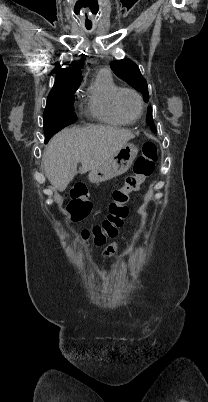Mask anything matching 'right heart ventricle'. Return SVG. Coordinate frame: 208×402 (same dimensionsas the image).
I'll return each instance as SVG.
<instances>
[{
  "mask_svg": "<svg viewBox=\"0 0 208 402\" xmlns=\"http://www.w3.org/2000/svg\"><path fill=\"white\" fill-rule=\"evenodd\" d=\"M118 86L110 74L100 71L88 90V108L91 116L99 125L125 127L130 122L122 120L114 111L113 97Z\"/></svg>",
  "mask_w": 208,
  "mask_h": 402,
  "instance_id": "right-heart-ventricle-1",
  "label": "right heart ventricle"
}]
</instances>
